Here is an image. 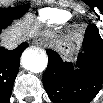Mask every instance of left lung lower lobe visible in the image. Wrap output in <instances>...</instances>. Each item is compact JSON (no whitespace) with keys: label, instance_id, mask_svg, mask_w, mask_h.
<instances>
[{"label":"left lung lower lobe","instance_id":"0a47b994","mask_svg":"<svg viewBox=\"0 0 103 103\" xmlns=\"http://www.w3.org/2000/svg\"><path fill=\"white\" fill-rule=\"evenodd\" d=\"M84 52L78 55L76 67L63 62L53 50H47L48 66L43 84L54 103H89L103 83V41L96 25L91 24L83 40Z\"/></svg>","mask_w":103,"mask_h":103}]
</instances>
